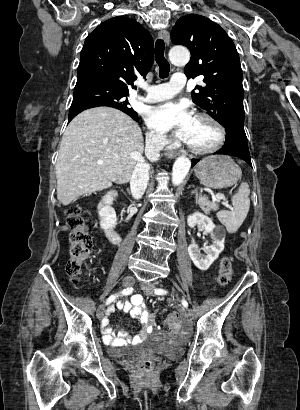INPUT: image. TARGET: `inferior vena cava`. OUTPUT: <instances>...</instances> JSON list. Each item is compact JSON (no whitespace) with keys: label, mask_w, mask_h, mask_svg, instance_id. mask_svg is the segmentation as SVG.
Returning a JSON list of instances; mask_svg holds the SVG:
<instances>
[{"label":"inferior vena cava","mask_w":300,"mask_h":410,"mask_svg":"<svg viewBox=\"0 0 300 410\" xmlns=\"http://www.w3.org/2000/svg\"><path fill=\"white\" fill-rule=\"evenodd\" d=\"M164 145V138L153 135L146 139V155L151 161L159 158V151ZM150 166L145 161H140L134 168L130 179L131 194L135 200H139L145 193L149 181Z\"/></svg>","instance_id":"602c4592"}]
</instances>
